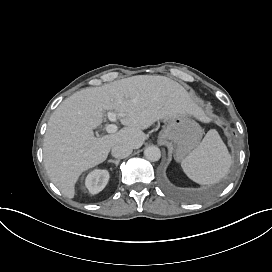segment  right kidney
Instances as JSON below:
<instances>
[{"label":"right kidney","instance_id":"right-kidney-1","mask_svg":"<svg viewBox=\"0 0 272 272\" xmlns=\"http://www.w3.org/2000/svg\"><path fill=\"white\" fill-rule=\"evenodd\" d=\"M109 180V174L105 170L93 171L89 174L86 180V186L91 193L102 191Z\"/></svg>","mask_w":272,"mask_h":272}]
</instances>
